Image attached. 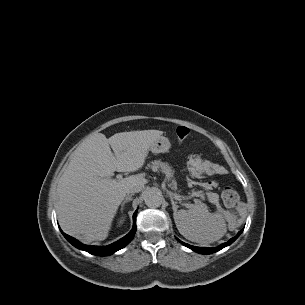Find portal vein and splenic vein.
Masks as SVG:
<instances>
[{"instance_id":"1","label":"portal vein and splenic vein","mask_w":305,"mask_h":305,"mask_svg":"<svg viewBox=\"0 0 305 305\" xmlns=\"http://www.w3.org/2000/svg\"><path fill=\"white\" fill-rule=\"evenodd\" d=\"M116 178L120 180V179H122V175L119 174V175L116 176ZM193 195L194 196H199V192H194ZM176 197L179 198L180 196H176Z\"/></svg>"}]
</instances>
